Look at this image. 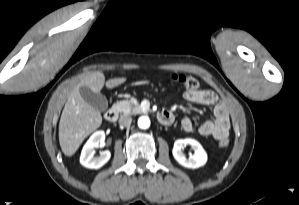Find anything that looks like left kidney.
Returning a JSON list of instances; mask_svg holds the SVG:
<instances>
[{"label":"left kidney","mask_w":299,"mask_h":205,"mask_svg":"<svg viewBox=\"0 0 299 205\" xmlns=\"http://www.w3.org/2000/svg\"><path fill=\"white\" fill-rule=\"evenodd\" d=\"M190 145L194 150V154L190 155L187 159L182 152V149ZM172 154L175 160L186 168L196 169L206 164L207 162V153L203 149L202 145L192 138H185L176 140L172 150Z\"/></svg>","instance_id":"left-kidney-1"}]
</instances>
